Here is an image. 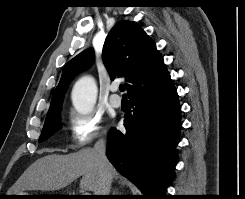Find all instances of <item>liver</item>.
I'll return each mask as SVG.
<instances>
[{
  "instance_id": "obj_1",
  "label": "liver",
  "mask_w": 245,
  "mask_h": 199,
  "mask_svg": "<svg viewBox=\"0 0 245 199\" xmlns=\"http://www.w3.org/2000/svg\"><path fill=\"white\" fill-rule=\"evenodd\" d=\"M110 172L112 178H117L118 174L111 164ZM81 176L80 188L97 195L101 188V171L93 148H83L68 155L50 154L36 160L22 174L10 193L59 190Z\"/></svg>"
}]
</instances>
